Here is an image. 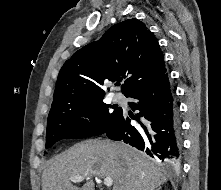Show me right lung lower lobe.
Instances as JSON below:
<instances>
[{
  "label": "right lung lower lobe",
  "mask_w": 221,
  "mask_h": 190,
  "mask_svg": "<svg viewBox=\"0 0 221 190\" xmlns=\"http://www.w3.org/2000/svg\"><path fill=\"white\" fill-rule=\"evenodd\" d=\"M126 97L137 101L130 103L138 110L132 126L130 118L121 112L112 127L105 132L108 138L123 141L167 166H177L181 156L180 120L173 88L168 73L144 85Z\"/></svg>",
  "instance_id": "98d812e1"
}]
</instances>
